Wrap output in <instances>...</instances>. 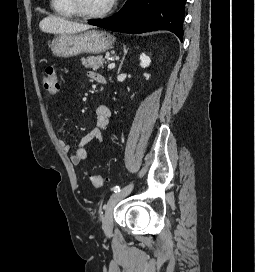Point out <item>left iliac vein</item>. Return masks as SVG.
<instances>
[{
    "mask_svg": "<svg viewBox=\"0 0 255 272\" xmlns=\"http://www.w3.org/2000/svg\"><path fill=\"white\" fill-rule=\"evenodd\" d=\"M133 189V183L125 186L120 192H115L108 200L105 215L102 219V228L105 233L109 234L113 229V211L116 204L125 196H127Z\"/></svg>",
    "mask_w": 255,
    "mask_h": 272,
    "instance_id": "1",
    "label": "left iliac vein"
}]
</instances>
